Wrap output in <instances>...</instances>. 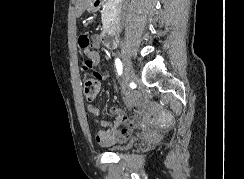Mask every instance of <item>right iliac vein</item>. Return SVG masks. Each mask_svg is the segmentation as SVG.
<instances>
[{"mask_svg": "<svg viewBox=\"0 0 244 179\" xmlns=\"http://www.w3.org/2000/svg\"><path fill=\"white\" fill-rule=\"evenodd\" d=\"M121 56H122L123 65H124V71H123L121 84H122L123 91H126L128 88V83L130 81H132V79L134 78V72H133L132 64L124 49L121 52Z\"/></svg>", "mask_w": 244, "mask_h": 179, "instance_id": "63e3f726", "label": "right iliac vein"}]
</instances>
